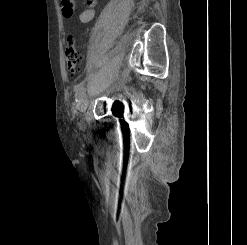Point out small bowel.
Instances as JSON below:
<instances>
[{
    "label": "small bowel",
    "instance_id": "1",
    "mask_svg": "<svg viewBox=\"0 0 247 245\" xmlns=\"http://www.w3.org/2000/svg\"><path fill=\"white\" fill-rule=\"evenodd\" d=\"M97 0H85L86 9L78 15V20L81 23L89 22L95 15L94 7L96 6ZM62 13L64 17H71L74 10L73 0H61Z\"/></svg>",
    "mask_w": 247,
    "mask_h": 245
}]
</instances>
